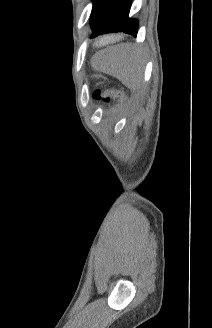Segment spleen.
Listing matches in <instances>:
<instances>
[{
  "instance_id": "spleen-1",
  "label": "spleen",
  "mask_w": 212,
  "mask_h": 328,
  "mask_svg": "<svg viewBox=\"0 0 212 328\" xmlns=\"http://www.w3.org/2000/svg\"><path fill=\"white\" fill-rule=\"evenodd\" d=\"M112 41V38L105 37L96 41L95 46H104ZM123 47L126 50L123 60L124 66L121 71L117 73V77L122 81L125 86L132 90H135L140 87L142 79V72L136 60L137 52L129 44L123 45Z\"/></svg>"
}]
</instances>
